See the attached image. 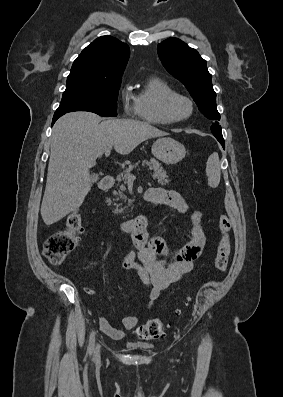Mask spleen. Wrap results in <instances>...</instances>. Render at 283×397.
Wrapping results in <instances>:
<instances>
[{"label": "spleen", "mask_w": 283, "mask_h": 397, "mask_svg": "<svg viewBox=\"0 0 283 397\" xmlns=\"http://www.w3.org/2000/svg\"><path fill=\"white\" fill-rule=\"evenodd\" d=\"M206 175L208 177V185L216 188L220 183L221 177L220 161L217 152H213L207 160Z\"/></svg>", "instance_id": "3e777b00"}]
</instances>
